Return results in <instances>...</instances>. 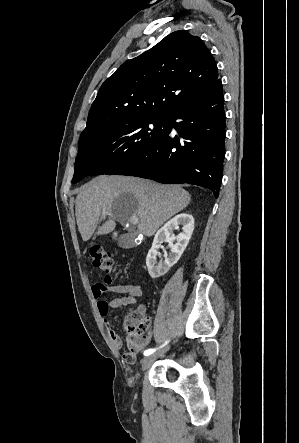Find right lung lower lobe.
<instances>
[{"label": "right lung lower lobe", "instance_id": "right-lung-lower-lobe-1", "mask_svg": "<svg viewBox=\"0 0 299 443\" xmlns=\"http://www.w3.org/2000/svg\"><path fill=\"white\" fill-rule=\"evenodd\" d=\"M163 139L114 175L137 176L160 183H189L210 189L217 198L222 182L225 111L221 80L170 112ZM178 136H170L171 128Z\"/></svg>", "mask_w": 299, "mask_h": 443}]
</instances>
